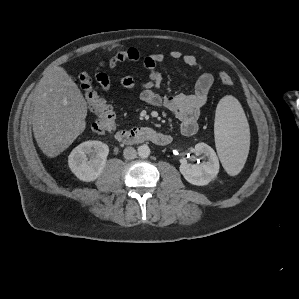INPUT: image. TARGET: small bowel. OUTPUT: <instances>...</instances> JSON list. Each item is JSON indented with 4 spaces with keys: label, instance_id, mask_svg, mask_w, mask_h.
Listing matches in <instances>:
<instances>
[{
    "label": "small bowel",
    "instance_id": "c3829d8e",
    "mask_svg": "<svg viewBox=\"0 0 299 299\" xmlns=\"http://www.w3.org/2000/svg\"><path fill=\"white\" fill-rule=\"evenodd\" d=\"M170 57L175 61H182L190 67L200 68L197 58L190 54H182L180 51H172ZM142 59L140 52L136 48H129L114 54L108 62L102 61L97 67L95 75L96 81L104 91L110 88V79L107 74L100 71L101 68L108 66L116 70L123 62L136 63ZM144 67L149 71V78L141 84L140 99L154 107H165L171 111L179 121V129L184 136H192L198 130V122L201 111L207 103L209 93L214 82V77L208 72L201 73L196 81L192 93H179L175 95H160L158 89L162 84V74L158 70V65L164 61V55L161 53L150 54L143 59ZM121 85L126 89H132L136 86L135 79L126 74H122ZM169 141L171 135L165 134Z\"/></svg>",
    "mask_w": 299,
    "mask_h": 299
}]
</instances>
